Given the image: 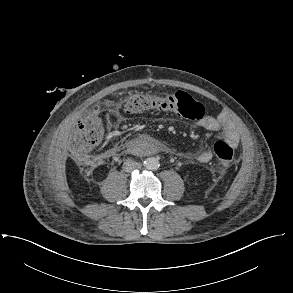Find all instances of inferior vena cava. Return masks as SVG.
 Returning a JSON list of instances; mask_svg holds the SVG:
<instances>
[{"label": "inferior vena cava", "instance_id": "inferior-vena-cava-1", "mask_svg": "<svg viewBox=\"0 0 293 293\" xmlns=\"http://www.w3.org/2000/svg\"><path fill=\"white\" fill-rule=\"evenodd\" d=\"M141 165L133 160H126L123 163V170L126 172H131L132 170L139 168Z\"/></svg>", "mask_w": 293, "mask_h": 293}]
</instances>
